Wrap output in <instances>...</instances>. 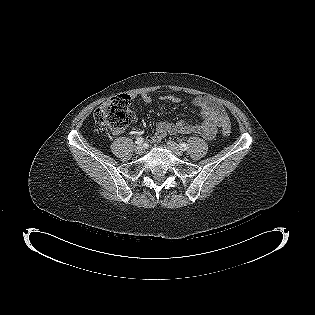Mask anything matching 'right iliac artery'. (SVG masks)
Wrapping results in <instances>:
<instances>
[{
  "label": "right iliac artery",
  "instance_id": "right-iliac-artery-1",
  "mask_svg": "<svg viewBox=\"0 0 315 315\" xmlns=\"http://www.w3.org/2000/svg\"><path fill=\"white\" fill-rule=\"evenodd\" d=\"M143 141H144V139L142 137H138L135 142H136V144L141 145L143 143Z\"/></svg>",
  "mask_w": 315,
  "mask_h": 315
}]
</instances>
